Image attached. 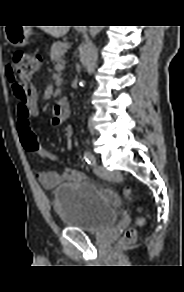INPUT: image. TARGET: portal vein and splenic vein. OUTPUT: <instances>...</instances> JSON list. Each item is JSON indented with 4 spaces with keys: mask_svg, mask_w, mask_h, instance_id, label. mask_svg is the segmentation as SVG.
Returning a JSON list of instances; mask_svg holds the SVG:
<instances>
[{
    "mask_svg": "<svg viewBox=\"0 0 184 292\" xmlns=\"http://www.w3.org/2000/svg\"><path fill=\"white\" fill-rule=\"evenodd\" d=\"M64 67V63H58L56 66H55V68L57 69V70H60V69H62Z\"/></svg>",
    "mask_w": 184,
    "mask_h": 292,
    "instance_id": "obj_1",
    "label": "portal vein and splenic vein"
}]
</instances>
